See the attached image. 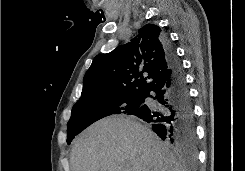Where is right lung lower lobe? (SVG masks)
<instances>
[{
  "mask_svg": "<svg viewBox=\"0 0 245 171\" xmlns=\"http://www.w3.org/2000/svg\"><path fill=\"white\" fill-rule=\"evenodd\" d=\"M164 47L170 74L143 94V104L132 115L151 124L153 131L175 146L194 149V111L182 64L167 38ZM149 98L147 103L145 99Z\"/></svg>",
  "mask_w": 245,
  "mask_h": 171,
  "instance_id": "right-lung-lower-lobe-1",
  "label": "right lung lower lobe"
}]
</instances>
